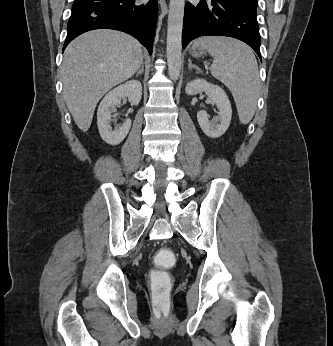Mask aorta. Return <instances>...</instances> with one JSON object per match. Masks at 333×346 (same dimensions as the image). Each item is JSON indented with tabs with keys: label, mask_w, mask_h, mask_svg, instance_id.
<instances>
[{
	"label": "aorta",
	"mask_w": 333,
	"mask_h": 346,
	"mask_svg": "<svg viewBox=\"0 0 333 346\" xmlns=\"http://www.w3.org/2000/svg\"><path fill=\"white\" fill-rule=\"evenodd\" d=\"M185 0H170L167 29L168 74L177 80L181 69L182 29Z\"/></svg>",
	"instance_id": "obj_1"
}]
</instances>
